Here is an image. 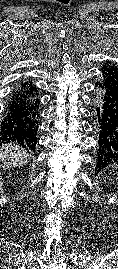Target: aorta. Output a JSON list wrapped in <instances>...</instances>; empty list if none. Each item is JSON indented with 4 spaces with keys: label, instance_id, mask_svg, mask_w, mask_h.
<instances>
[{
    "label": "aorta",
    "instance_id": "aorta-1",
    "mask_svg": "<svg viewBox=\"0 0 118 269\" xmlns=\"http://www.w3.org/2000/svg\"><path fill=\"white\" fill-rule=\"evenodd\" d=\"M95 92H96L95 103H97V105L100 106L102 89L98 87L96 88Z\"/></svg>",
    "mask_w": 118,
    "mask_h": 269
}]
</instances>
